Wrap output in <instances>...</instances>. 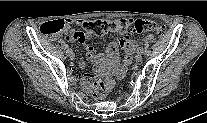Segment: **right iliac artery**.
Instances as JSON below:
<instances>
[{
	"label": "right iliac artery",
	"mask_w": 207,
	"mask_h": 123,
	"mask_svg": "<svg viewBox=\"0 0 207 123\" xmlns=\"http://www.w3.org/2000/svg\"><path fill=\"white\" fill-rule=\"evenodd\" d=\"M72 50L70 48L67 49V53L71 52Z\"/></svg>",
	"instance_id": "1"
}]
</instances>
